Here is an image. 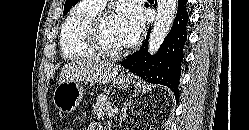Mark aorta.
Returning a JSON list of instances; mask_svg holds the SVG:
<instances>
[{
    "label": "aorta",
    "instance_id": "1",
    "mask_svg": "<svg viewBox=\"0 0 249 130\" xmlns=\"http://www.w3.org/2000/svg\"><path fill=\"white\" fill-rule=\"evenodd\" d=\"M177 0H158L157 14L153 29L149 38L148 52L150 55L155 54L164 39L166 38L176 12Z\"/></svg>",
    "mask_w": 249,
    "mask_h": 130
}]
</instances>
